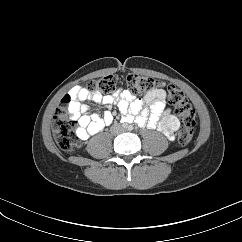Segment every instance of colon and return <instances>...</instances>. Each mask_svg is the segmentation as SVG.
Returning <instances> with one entry per match:
<instances>
[{
    "label": "colon",
    "instance_id": "5ec220e1",
    "mask_svg": "<svg viewBox=\"0 0 242 242\" xmlns=\"http://www.w3.org/2000/svg\"><path fill=\"white\" fill-rule=\"evenodd\" d=\"M119 83L120 80L117 76L105 75L89 81L85 89L90 92L108 95L117 89ZM125 83L129 90L136 95L147 94L156 87L164 86L163 82L134 73L126 77ZM167 92L169 103L174 107L175 113L179 115L183 123V127L178 133V143L181 146H186L192 140L193 129L196 125V111L185 94L174 85H168ZM72 99L71 94L64 95L53 117V135L55 141L63 151L68 153L73 152L78 146V139L74 128L77 121L70 118L66 111V104Z\"/></svg>",
    "mask_w": 242,
    "mask_h": 242
}]
</instances>
